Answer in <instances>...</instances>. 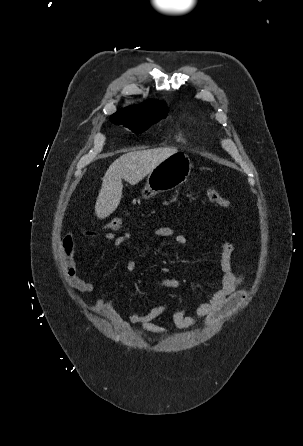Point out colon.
I'll return each instance as SVG.
<instances>
[{
	"label": "colon",
	"mask_w": 303,
	"mask_h": 446,
	"mask_svg": "<svg viewBox=\"0 0 303 446\" xmlns=\"http://www.w3.org/2000/svg\"><path fill=\"white\" fill-rule=\"evenodd\" d=\"M206 196L209 202L216 206L223 208H227L230 206V202L215 189H206ZM124 222V218L115 217L105 225L104 230L106 231V233H114L115 231L123 227Z\"/></svg>",
	"instance_id": "obj_1"
}]
</instances>
